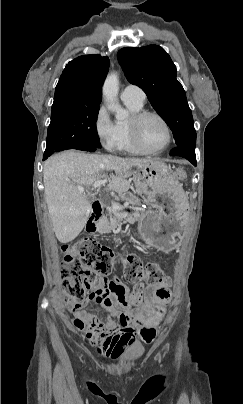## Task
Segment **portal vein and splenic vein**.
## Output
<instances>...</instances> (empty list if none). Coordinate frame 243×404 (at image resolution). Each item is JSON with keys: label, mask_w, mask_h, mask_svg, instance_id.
<instances>
[{"label": "portal vein and splenic vein", "mask_w": 243, "mask_h": 404, "mask_svg": "<svg viewBox=\"0 0 243 404\" xmlns=\"http://www.w3.org/2000/svg\"><path fill=\"white\" fill-rule=\"evenodd\" d=\"M106 182H108V180H97V182H95L94 184V188H98V186H101V184H106ZM112 206L113 210H116V216L124 217L128 215V212H126V210H118V206L117 204H115V202H112Z\"/></svg>", "instance_id": "portal-vein-and-splenic-vein-1"}]
</instances>
